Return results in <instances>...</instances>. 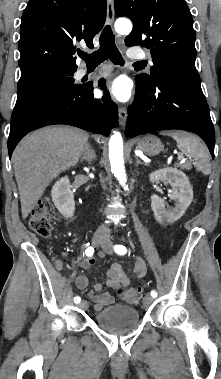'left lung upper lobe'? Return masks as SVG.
<instances>
[{
    "instance_id": "obj_1",
    "label": "left lung upper lobe",
    "mask_w": 221,
    "mask_h": 379,
    "mask_svg": "<svg viewBox=\"0 0 221 379\" xmlns=\"http://www.w3.org/2000/svg\"><path fill=\"white\" fill-rule=\"evenodd\" d=\"M114 4L116 15L129 17L134 25L126 45L151 49V75L139 74L136 81L147 83L161 74L200 83L193 19L185 0H114Z\"/></svg>"
}]
</instances>
